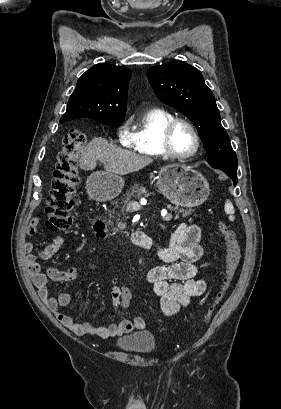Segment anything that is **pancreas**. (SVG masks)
I'll use <instances>...</instances> for the list:
<instances>
[{"label": "pancreas", "mask_w": 281, "mask_h": 409, "mask_svg": "<svg viewBox=\"0 0 281 409\" xmlns=\"http://www.w3.org/2000/svg\"><path fill=\"white\" fill-rule=\"evenodd\" d=\"M150 194H152V192H148L145 186H141V184H133L130 192H127V196H125L123 200V207H121L122 211H124L132 196H135V198H144V196H150ZM168 209H170V211H174V213H177L175 219H178L179 213H183L184 217H186V215H190V211H185V209H179L178 211L177 207H171V205H168ZM117 225L118 227H125V223H117Z\"/></svg>", "instance_id": "pancreas-1"}]
</instances>
